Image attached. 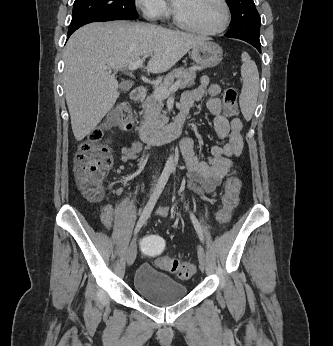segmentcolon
Instances as JSON below:
<instances>
[{"label": "colon", "instance_id": "colon-1", "mask_svg": "<svg viewBox=\"0 0 333 346\" xmlns=\"http://www.w3.org/2000/svg\"><path fill=\"white\" fill-rule=\"evenodd\" d=\"M223 104L227 116H235L238 113L237 91L234 87L225 89ZM106 127L123 132L132 129V110L128 102L121 101L116 104L106 120ZM112 162L110 147L104 141L101 131H93L89 135V140L80 144L74 161V172L77 186L88 201L96 203L102 200L104 176L112 166ZM240 190V179L235 175L229 176L222 196V207L216 215L219 223L229 221L232 210L238 204ZM162 238V233L142 235L139 241L142 255L162 256L155 262L160 269L174 273L181 279L190 278L196 271L195 265L165 256V241Z\"/></svg>", "mask_w": 333, "mask_h": 346}]
</instances>
